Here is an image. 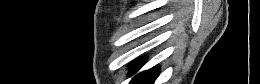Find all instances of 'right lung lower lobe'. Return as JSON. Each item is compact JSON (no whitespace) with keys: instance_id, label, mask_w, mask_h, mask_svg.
I'll use <instances>...</instances> for the list:
<instances>
[{"instance_id":"right-lung-lower-lobe-1","label":"right lung lower lobe","mask_w":260,"mask_h":84,"mask_svg":"<svg viewBox=\"0 0 260 84\" xmlns=\"http://www.w3.org/2000/svg\"><path fill=\"white\" fill-rule=\"evenodd\" d=\"M159 73V68L154 67L143 73L138 79L134 80V84H153Z\"/></svg>"}]
</instances>
